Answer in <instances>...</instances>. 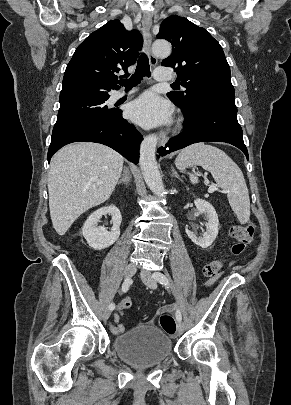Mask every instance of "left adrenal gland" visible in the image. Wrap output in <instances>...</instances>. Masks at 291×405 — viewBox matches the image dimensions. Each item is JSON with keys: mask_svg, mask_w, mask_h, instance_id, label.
<instances>
[{"mask_svg": "<svg viewBox=\"0 0 291 405\" xmlns=\"http://www.w3.org/2000/svg\"><path fill=\"white\" fill-rule=\"evenodd\" d=\"M171 176L180 179L179 175L177 174V172L175 171V169H174L173 167H172V174H171ZM180 180H181V179H180Z\"/></svg>", "mask_w": 291, "mask_h": 405, "instance_id": "1", "label": "left adrenal gland"}]
</instances>
